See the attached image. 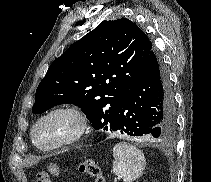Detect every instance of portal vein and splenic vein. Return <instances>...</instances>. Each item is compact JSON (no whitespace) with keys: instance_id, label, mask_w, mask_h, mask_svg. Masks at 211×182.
<instances>
[{"instance_id":"obj_1","label":"portal vein and splenic vein","mask_w":211,"mask_h":182,"mask_svg":"<svg viewBox=\"0 0 211 182\" xmlns=\"http://www.w3.org/2000/svg\"><path fill=\"white\" fill-rule=\"evenodd\" d=\"M119 179H120L119 177H115L114 182H117Z\"/></svg>"}]
</instances>
